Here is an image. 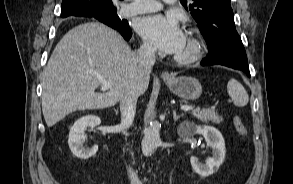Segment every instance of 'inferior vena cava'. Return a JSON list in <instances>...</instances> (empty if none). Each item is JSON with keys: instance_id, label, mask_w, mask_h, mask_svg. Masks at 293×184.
<instances>
[{"instance_id": "obj_1", "label": "inferior vena cava", "mask_w": 293, "mask_h": 184, "mask_svg": "<svg viewBox=\"0 0 293 184\" xmlns=\"http://www.w3.org/2000/svg\"><path fill=\"white\" fill-rule=\"evenodd\" d=\"M154 63L155 48L148 43H144L137 51V64L140 72L143 74H150ZM138 96L139 92H137L134 88H127L121 95V125L124 128L130 127L134 120ZM129 178L131 184H141L137 174L131 168H129Z\"/></svg>"}]
</instances>
